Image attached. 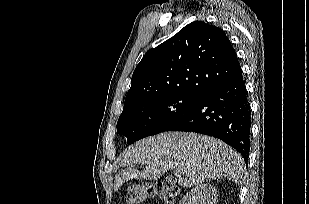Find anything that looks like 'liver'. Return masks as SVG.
I'll return each instance as SVG.
<instances>
[{
    "mask_svg": "<svg viewBox=\"0 0 309 204\" xmlns=\"http://www.w3.org/2000/svg\"><path fill=\"white\" fill-rule=\"evenodd\" d=\"M141 164L139 171L134 165ZM114 191L130 179L157 180L168 170L180 175L181 187L229 178L241 183L245 172L242 156L219 139L196 133L169 132L142 139L129 147L120 162Z\"/></svg>",
    "mask_w": 309,
    "mask_h": 204,
    "instance_id": "1",
    "label": "liver"
}]
</instances>
